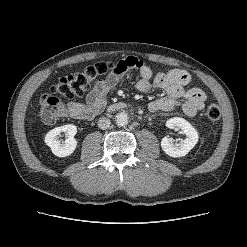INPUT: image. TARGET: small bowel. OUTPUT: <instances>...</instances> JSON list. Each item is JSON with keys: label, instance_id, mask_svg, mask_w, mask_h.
<instances>
[{"label": "small bowel", "instance_id": "1", "mask_svg": "<svg viewBox=\"0 0 247 247\" xmlns=\"http://www.w3.org/2000/svg\"><path fill=\"white\" fill-rule=\"evenodd\" d=\"M129 64L124 71H113L104 80L95 83L87 95L86 102L73 101L68 104V112L72 118L90 120L105 106L107 95L118 85L128 69H135L140 75L136 88L143 93L163 90L166 96L148 104L150 112L174 111L182 108L190 117L197 115L204 107L205 93L199 88L189 87L191 77L182 69H171L167 72L153 74L143 61L130 56L123 59Z\"/></svg>", "mask_w": 247, "mask_h": 247}]
</instances>
